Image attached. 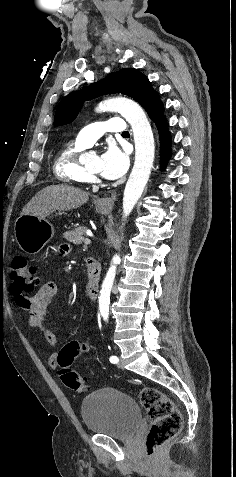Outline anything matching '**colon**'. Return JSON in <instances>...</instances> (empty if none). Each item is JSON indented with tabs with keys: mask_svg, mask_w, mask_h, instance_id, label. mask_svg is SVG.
Returning a JSON list of instances; mask_svg holds the SVG:
<instances>
[{
	"mask_svg": "<svg viewBox=\"0 0 236 477\" xmlns=\"http://www.w3.org/2000/svg\"><path fill=\"white\" fill-rule=\"evenodd\" d=\"M37 267L28 264L23 256L12 262V295L19 305L21 299L38 285ZM88 346L80 342H69L57 355L60 377L70 389L79 393L87 390V385L79 373L71 368L74 360L86 352ZM139 400L151 421V428L146 437V453L154 457L158 450L171 440L182 427V416L175 404L163 392L154 387H145L139 393Z\"/></svg>",
	"mask_w": 236,
	"mask_h": 477,
	"instance_id": "1",
	"label": "colon"
}]
</instances>
